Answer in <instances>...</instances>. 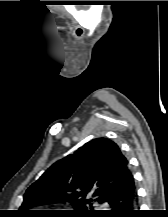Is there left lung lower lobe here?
Wrapping results in <instances>:
<instances>
[{
    "mask_svg": "<svg viewBox=\"0 0 168 217\" xmlns=\"http://www.w3.org/2000/svg\"><path fill=\"white\" fill-rule=\"evenodd\" d=\"M110 205L111 210L100 212L104 216L113 217H138L137 193L132 178L118 191L111 194L106 200Z\"/></svg>",
    "mask_w": 168,
    "mask_h": 217,
    "instance_id": "1",
    "label": "left lung lower lobe"
}]
</instances>
